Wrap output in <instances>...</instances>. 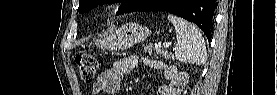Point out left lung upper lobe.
<instances>
[{
    "label": "left lung upper lobe",
    "instance_id": "left-lung-upper-lobe-1",
    "mask_svg": "<svg viewBox=\"0 0 277 95\" xmlns=\"http://www.w3.org/2000/svg\"><path fill=\"white\" fill-rule=\"evenodd\" d=\"M121 1L122 5L120 6L117 14L134 12L137 10L146 0H80L79 8L77 10L78 13H84L98 4L104 3H117Z\"/></svg>",
    "mask_w": 277,
    "mask_h": 95
}]
</instances>
